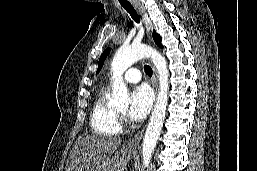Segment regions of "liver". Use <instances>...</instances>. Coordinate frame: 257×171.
<instances>
[{"mask_svg":"<svg viewBox=\"0 0 257 171\" xmlns=\"http://www.w3.org/2000/svg\"><path fill=\"white\" fill-rule=\"evenodd\" d=\"M122 141L103 136L80 138L72 148L65 171H98Z\"/></svg>","mask_w":257,"mask_h":171,"instance_id":"liver-1","label":"liver"}]
</instances>
